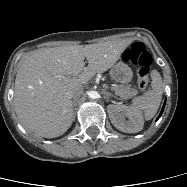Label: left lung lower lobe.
<instances>
[{
    "mask_svg": "<svg viewBox=\"0 0 187 187\" xmlns=\"http://www.w3.org/2000/svg\"><path fill=\"white\" fill-rule=\"evenodd\" d=\"M164 107H165V103H164V105H163V108H162L161 113L159 114V116H158L157 120H158V119L161 117L162 112H163V110H164Z\"/></svg>",
    "mask_w": 187,
    "mask_h": 187,
    "instance_id": "obj_1",
    "label": "left lung lower lobe"
}]
</instances>
